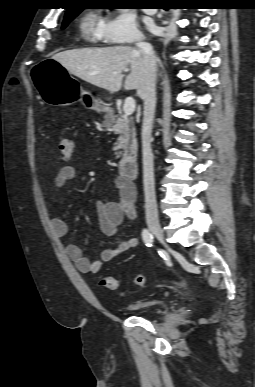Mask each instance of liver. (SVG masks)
Here are the masks:
<instances>
[{"instance_id":"liver-1","label":"liver","mask_w":255,"mask_h":387,"mask_svg":"<svg viewBox=\"0 0 255 387\" xmlns=\"http://www.w3.org/2000/svg\"><path fill=\"white\" fill-rule=\"evenodd\" d=\"M53 59L71 74L110 93L121 89L123 72L128 69L124 88L138 91L144 85L143 54L130 46L67 50L55 54Z\"/></svg>"}]
</instances>
